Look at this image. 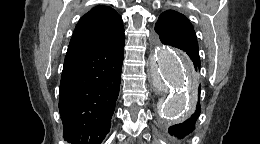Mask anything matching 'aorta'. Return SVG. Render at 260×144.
Instances as JSON below:
<instances>
[{"mask_svg": "<svg viewBox=\"0 0 260 144\" xmlns=\"http://www.w3.org/2000/svg\"><path fill=\"white\" fill-rule=\"evenodd\" d=\"M153 85L169 94L160 101L165 117L181 115L189 109V87L193 67L188 57L170 46L159 45L151 62Z\"/></svg>", "mask_w": 260, "mask_h": 144, "instance_id": "aorta-1", "label": "aorta"}]
</instances>
